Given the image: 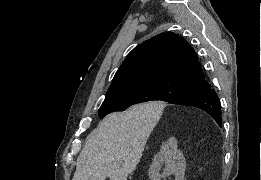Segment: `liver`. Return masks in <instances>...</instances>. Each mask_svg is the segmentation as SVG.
<instances>
[{
	"mask_svg": "<svg viewBox=\"0 0 261 180\" xmlns=\"http://www.w3.org/2000/svg\"><path fill=\"white\" fill-rule=\"evenodd\" d=\"M158 104H137L127 112H113L103 118L77 158L73 180H127L157 124Z\"/></svg>",
	"mask_w": 261,
	"mask_h": 180,
	"instance_id": "obj_1",
	"label": "liver"
}]
</instances>
